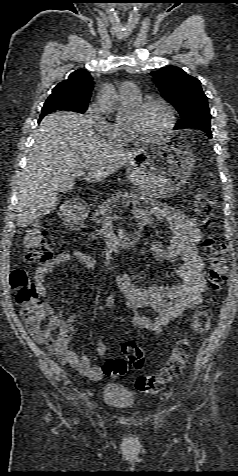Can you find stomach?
<instances>
[{
    "label": "stomach",
    "mask_w": 238,
    "mask_h": 476,
    "mask_svg": "<svg viewBox=\"0 0 238 476\" xmlns=\"http://www.w3.org/2000/svg\"><path fill=\"white\" fill-rule=\"evenodd\" d=\"M137 161L127 165L129 182L148 198L170 197L178 193L194 168L195 157L189 146L177 136L163 139L136 154ZM84 210L74 206L71 219H79Z\"/></svg>",
    "instance_id": "stomach-1"
}]
</instances>
